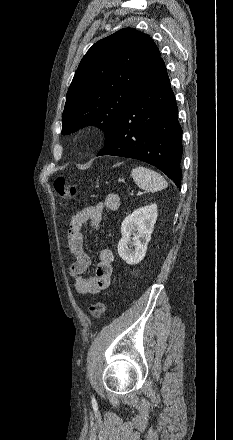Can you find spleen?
Returning <instances> with one entry per match:
<instances>
[{"label":"spleen","mask_w":233,"mask_h":440,"mask_svg":"<svg viewBox=\"0 0 233 440\" xmlns=\"http://www.w3.org/2000/svg\"><path fill=\"white\" fill-rule=\"evenodd\" d=\"M131 175L139 188L149 192L160 191L168 185L160 173L143 166L134 168Z\"/></svg>","instance_id":"spleen-1"}]
</instances>
